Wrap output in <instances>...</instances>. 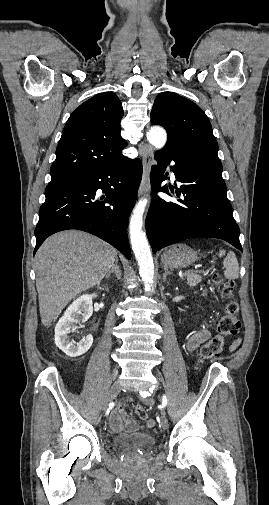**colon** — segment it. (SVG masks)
<instances>
[{"label": "colon", "instance_id": "colon-1", "mask_svg": "<svg viewBox=\"0 0 269 505\" xmlns=\"http://www.w3.org/2000/svg\"><path fill=\"white\" fill-rule=\"evenodd\" d=\"M215 284L222 285L224 296L231 298L234 285L231 281H224L222 277L216 273L213 275ZM241 328L239 319V307L235 300H229L225 311L217 324V334L206 342L200 349L198 354V362L202 364L214 357H217L223 350L226 339L230 336L238 334ZM136 413L140 418H146L147 412L141 405L136 406Z\"/></svg>", "mask_w": 269, "mask_h": 505}]
</instances>
